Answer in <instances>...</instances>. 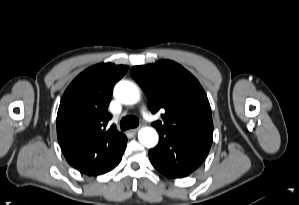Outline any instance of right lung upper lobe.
I'll return each instance as SVG.
<instances>
[{
    "mask_svg": "<svg viewBox=\"0 0 299 205\" xmlns=\"http://www.w3.org/2000/svg\"><path fill=\"white\" fill-rule=\"evenodd\" d=\"M128 66L100 63L80 73L68 86L57 114V136L68 163L95 175L123 148L126 137L113 125L108 105L115 83Z\"/></svg>",
    "mask_w": 299,
    "mask_h": 205,
    "instance_id": "right-lung-upper-lobe-1",
    "label": "right lung upper lobe"
}]
</instances>
